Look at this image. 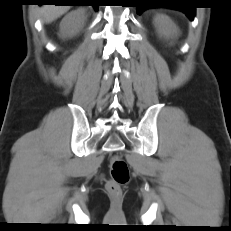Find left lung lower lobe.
I'll use <instances>...</instances> for the list:
<instances>
[{
    "instance_id": "obj_1",
    "label": "left lung lower lobe",
    "mask_w": 231,
    "mask_h": 231,
    "mask_svg": "<svg viewBox=\"0 0 231 231\" xmlns=\"http://www.w3.org/2000/svg\"><path fill=\"white\" fill-rule=\"evenodd\" d=\"M135 7L138 14L149 8L167 7L182 11L190 20H193L195 15V7L190 5L188 0H135Z\"/></svg>"
}]
</instances>
